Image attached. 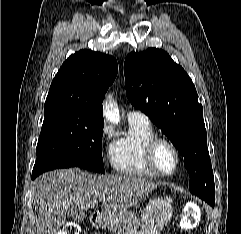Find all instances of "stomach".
<instances>
[{
    "mask_svg": "<svg viewBox=\"0 0 241 234\" xmlns=\"http://www.w3.org/2000/svg\"><path fill=\"white\" fill-rule=\"evenodd\" d=\"M172 213L171 201L156 197L146 205L140 228L135 216L126 210L120 211L115 216L107 215L106 221L113 223L119 234H159L171 220Z\"/></svg>",
    "mask_w": 241,
    "mask_h": 234,
    "instance_id": "stomach-1",
    "label": "stomach"
}]
</instances>
